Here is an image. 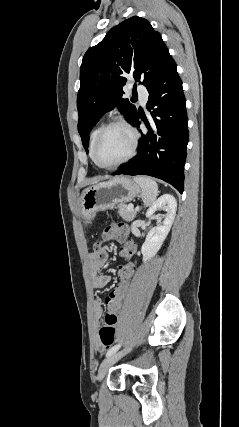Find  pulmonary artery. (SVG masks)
I'll list each match as a JSON object with an SVG mask.
<instances>
[{
    "label": "pulmonary artery",
    "mask_w": 239,
    "mask_h": 427,
    "mask_svg": "<svg viewBox=\"0 0 239 427\" xmlns=\"http://www.w3.org/2000/svg\"><path fill=\"white\" fill-rule=\"evenodd\" d=\"M137 91L141 97L142 102H146L147 98H148V92L147 89L143 86V85H138L137 86Z\"/></svg>",
    "instance_id": "pulmonary-artery-1"
}]
</instances>
